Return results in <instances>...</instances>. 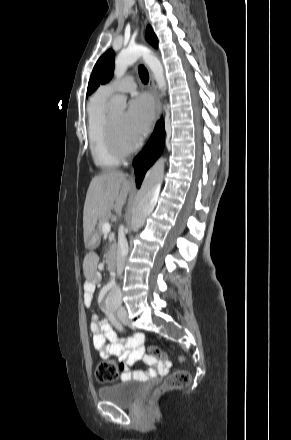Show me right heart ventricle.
Wrapping results in <instances>:
<instances>
[{"mask_svg":"<svg viewBox=\"0 0 291 440\" xmlns=\"http://www.w3.org/2000/svg\"><path fill=\"white\" fill-rule=\"evenodd\" d=\"M108 97L100 94L99 90L92 97L88 106V139L89 148L94 163L102 168L116 167L121 159L115 156L105 135L106 112L105 105Z\"/></svg>","mask_w":291,"mask_h":440,"instance_id":"e07e8e85","label":"right heart ventricle"}]
</instances>
